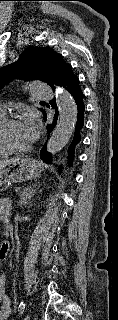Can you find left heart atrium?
Masks as SVG:
<instances>
[{
  "mask_svg": "<svg viewBox=\"0 0 118 320\" xmlns=\"http://www.w3.org/2000/svg\"><path fill=\"white\" fill-rule=\"evenodd\" d=\"M23 126L29 142L35 141L40 134L39 119L35 114L29 115L23 122Z\"/></svg>",
  "mask_w": 118,
  "mask_h": 320,
  "instance_id": "obj_1",
  "label": "left heart atrium"
}]
</instances>
